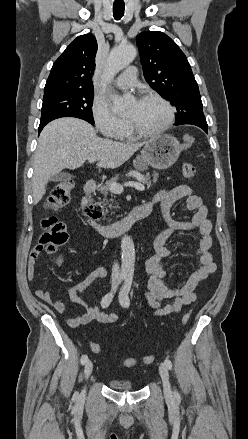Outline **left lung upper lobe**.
Returning <instances> with one entry per match:
<instances>
[{
	"label": "left lung upper lobe",
	"instance_id": "left-lung-upper-lobe-1",
	"mask_svg": "<svg viewBox=\"0 0 248 439\" xmlns=\"http://www.w3.org/2000/svg\"><path fill=\"white\" fill-rule=\"evenodd\" d=\"M136 43L146 81L177 109L175 124H207L197 82L177 44L160 31L142 32Z\"/></svg>",
	"mask_w": 248,
	"mask_h": 439
}]
</instances>
